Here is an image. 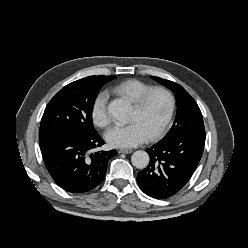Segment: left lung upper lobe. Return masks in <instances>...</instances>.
Returning a JSON list of instances; mask_svg holds the SVG:
<instances>
[{"instance_id":"5c2ea615","label":"left lung upper lobe","mask_w":248,"mask_h":248,"mask_svg":"<svg viewBox=\"0 0 248 248\" xmlns=\"http://www.w3.org/2000/svg\"><path fill=\"white\" fill-rule=\"evenodd\" d=\"M158 83L174 92L178 100L174 123L161 140H167L182 134H194L205 137L202 113L190 94L179 84L152 76Z\"/></svg>"}]
</instances>
